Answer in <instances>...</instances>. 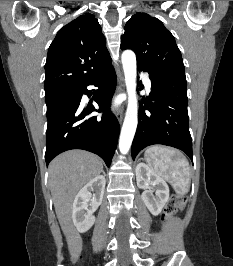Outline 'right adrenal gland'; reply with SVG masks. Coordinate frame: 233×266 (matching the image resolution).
Wrapping results in <instances>:
<instances>
[{
    "instance_id": "right-adrenal-gland-1",
    "label": "right adrenal gland",
    "mask_w": 233,
    "mask_h": 266,
    "mask_svg": "<svg viewBox=\"0 0 233 266\" xmlns=\"http://www.w3.org/2000/svg\"><path fill=\"white\" fill-rule=\"evenodd\" d=\"M103 175L105 176V172L102 170Z\"/></svg>"
}]
</instances>
